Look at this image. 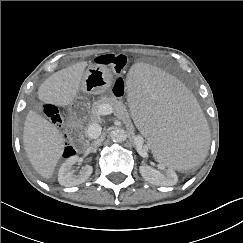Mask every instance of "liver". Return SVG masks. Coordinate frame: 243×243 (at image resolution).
<instances>
[{"mask_svg":"<svg viewBox=\"0 0 243 243\" xmlns=\"http://www.w3.org/2000/svg\"><path fill=\"white\" fill-rule=\"evenodd\" d=\"M86 61L64 68L47 78L38 89L42 101L60 107L71 105L80 91ZM27 157L43 178L52 177L63 153L64 138L55 125L34 111H29L23 131Z\"/></svg>","mask_w":243,"mask_h":243,"instance_id":"6515ba94","label":"liver"}]
</instances>
